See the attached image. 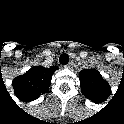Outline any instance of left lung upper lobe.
<instances>
[{"instance_id": "obj_1", "label": "left lung upper lobe", "mask_w": 124, "mask_h": 124, "mask_svg": "<svg viewBox=\"0 0 124 124\" xmlns=\"http://www.w3.org/2000/svg\"><path fill=\"white\" fill-rule=\"evenodd\" d=\"M79 78L81 91L88 99L98 100L106 92L107 83L99 71L95 69L82 70Z\"/></svg>"}]
</instances>
